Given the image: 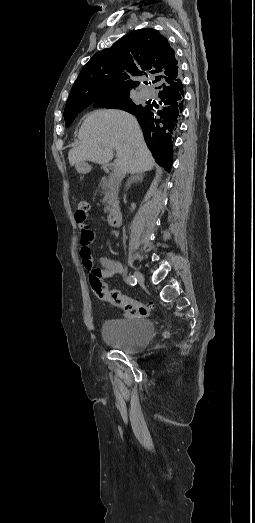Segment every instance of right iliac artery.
Returning a JSON list of instances; mask_svg holds the SVG:
<instances>
[{"label":"right iliac artery","mask_w":255,"mask_h":523,"mask_svg":"<svg viewBox=\"0 0 255 523\" xmlns=\"http://www.w3.org/2000/svg\"><path fill=\"white\" fill-rule=\"evenodd\" d=\"M126 282L131 285V286H135L137 284V279L135 276H132V275H129L127 278H126Z\"/></svg>","instance_id":"right-iliac-artery-1"}]
</instances>
